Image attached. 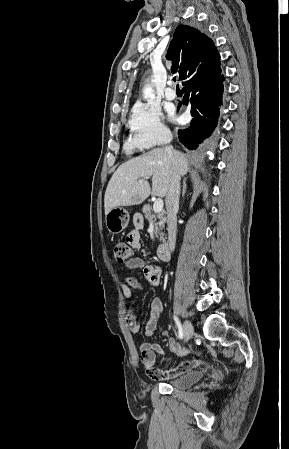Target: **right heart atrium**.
<instances>
[{
  "mask_svg": "<svg viewBox=\"0 0 289 449\" xmlns=\"http://www.w3.org/2000/svg\"><path fill=\"white\" fill-rule=\"evenodd\" d=\"M129 145L136 149H150L166 143L170 131L162 121L161 114L145 104L133 107L128 121Z\"/></svg>",
  "mask_w": 289,
  "mask_h": 449,
  "instance_id": "d8ad5b80",
  "label": "right heart atrium"
}]
</instances>
